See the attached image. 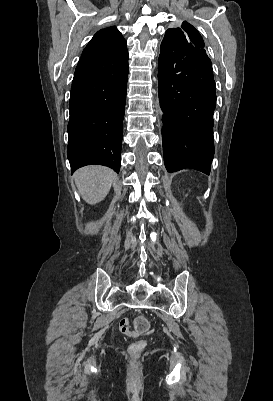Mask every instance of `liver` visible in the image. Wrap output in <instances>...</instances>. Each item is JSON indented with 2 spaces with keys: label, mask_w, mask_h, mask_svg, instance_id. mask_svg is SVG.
Segmentation results:
<instances>
[{
  "label": "liver",
  "mask_w": 273,
  "mask_h": 401,
  "mask_svg": "<svg viewBox=\"0 0 273 401\" xmlns=\"http://www.w3.org/2000/svg\"><path fill=\"white\" fill-rule=\"evenodd\" d=\"M74 178L84 201L96 205L108 194L117 174L107 166H84L76 170Z\"/></svg>",
  "instance_id": "liver-1"
}]
</instances>
